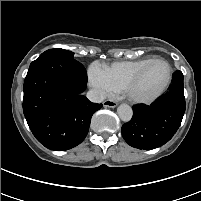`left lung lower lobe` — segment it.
<instances>
[{"instance_id":"obj_1","label":"left lung lower lobe","mask_w":201,"mask_h":201,"mask_svg":"<svg viewBox=\"0 0 201 201\" xmlns=\"http://www.w3.org/2000/svg\"><path fill=\"white\" fill-rule=\"evenodd\" d=\"M186 108L183 74L175 71L169 91L150 106L136 105L133 117L122 126V136L132 147L144 150L167 143L178 130Z\"/></svg>"}]
</instances>
